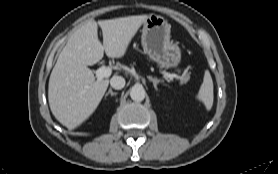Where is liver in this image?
I'll return each instance as SVG.
<instances>
[{
	"instance_id": "liver-1",
	"label": "liver",
	"mask_w": 278,
	"mask_h": 174,
	"mask_svg": "<svg viewBox=\"0 0 278 174\" xmlns=\"http://www.w3.org/2000/svg\"><path fill=\"white\" fill-rule=\"evenodd\" d=\"M148 17L89 20L71 35L58 56L48 85L51 112L63 126L69 130L80 126L96 110L107 90L109 80L97 81L88 66L99 62L104 52L111 58L123 57ZM98 26L103 44L98 39Z\"/></svg>"
}]
</instances>
